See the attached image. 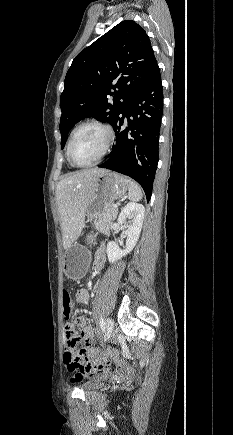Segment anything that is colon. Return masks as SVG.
Instances as JSON below:
<instances>
[{
  "label": "colon",
  "mask_w": 233,
  "mask_h": 435,
  "mask_svg": "<svg viewBox=\"0 0 233 435\" xmlns=\"http://www.w3.org/2000/svg\"><path fill=\"white\" fill-rule=\"evenodd\" d=\"M61 300L63 307V317L65 321H69L72 316L73 304L68 289L64 288L62 290ZM65 337L67 349L64 353L63 360L68 370L72 371L81 364L83 359V351L78 347L81 335L75 326L67 323L65 325ZM105 355L106 353H95V362L87 365L86 370L100 372L101 360Z\"/></svg>",
  "instance_id": "1"
}]
</instances>
